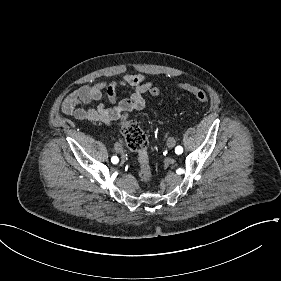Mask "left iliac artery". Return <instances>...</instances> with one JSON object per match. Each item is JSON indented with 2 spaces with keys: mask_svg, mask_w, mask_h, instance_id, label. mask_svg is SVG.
Masks as SVG:
<instances>
[{
  "mask_svg": "<svg viewBox=\"0 0 281 281\" xmlns=\"http://www.w3.org/2000/svg\"><path fill=\"white\" fill-rule=\"evenodd\" d=\"M175 152H176L177 154H181V153L183 152V148H182L181 146H177V147L175 148Z\"/></svg>",
  "mask_w": 281,
  "mask_h": 281,
  "instance_id": "1",
  "label": "left iliac artery"
}]
</instances>
